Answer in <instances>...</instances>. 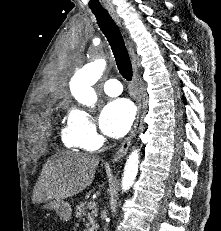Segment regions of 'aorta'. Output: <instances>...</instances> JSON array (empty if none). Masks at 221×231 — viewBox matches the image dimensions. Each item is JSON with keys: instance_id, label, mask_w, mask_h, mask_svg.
<instances>
[{"instance_id": "1", "label": "aorta", "mask_w": 221, "mask_h": 231, "mask_svg": "<svg viewBox=\"0 0 221 231\" xmlns=\"http://www.w3.org/2000/svg\"><path fill=\"white\" fill-rule=\"evenodd\" d=\"M106 67L105 59H98L78 70L70 82V90L74 98L86 106L94 107L97 95L92 86L100 79ZM140 162L139 150L129 155L121 182L122 191L129 190L136 179Z\"/></svg>"}]
</instances>
